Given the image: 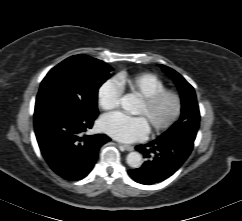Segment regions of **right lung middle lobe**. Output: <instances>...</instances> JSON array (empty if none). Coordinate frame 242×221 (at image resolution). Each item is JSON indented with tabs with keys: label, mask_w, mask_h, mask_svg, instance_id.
<instances>
[{
	"label": "right lung middle lobe",
	"mask_w": 242,
	"mask_h": 221,
	"mask_svg": "<svg viewBox=\"0 0 242 221\" xmlns=\"http://www.w3.org/2000/svg\"><path fill=\"white\" fill-rule=\"evenodd\" d=\"M112 70L106 63L86 55L65 59L41 82L34 117L52 112L80 118L97 116L98 89Z\"/></svg>",
	"instance_id": "right-lung-middle-lobe-1"
}]
</instances>
